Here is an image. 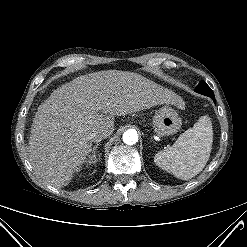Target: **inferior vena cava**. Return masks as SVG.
I'll use <instances>...</instances> for the list:
<instances>
[{
	"label": "inferior vena cava",
	"instance_id": "inferior-vena-cava-1",
	"mask_svg": "<svg viewBox=\"0 0 247 247\" xmlns=\"http://www.w3.org/2000/svg\"><path fill=\"white\" fill-rule=\"evenodd\" d=\"M106 133L103 130H95L88 135V139L92 142H100L102 139L106 138Z\"/></svg>",
	"mask_w": 247,
	"mask_h": 247
}]
</instances>
